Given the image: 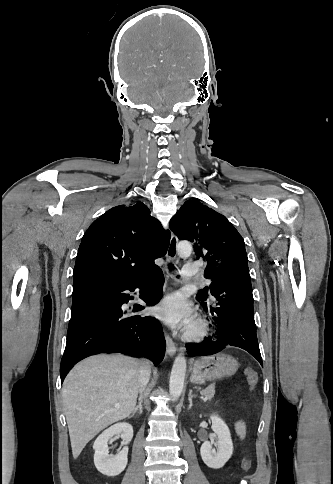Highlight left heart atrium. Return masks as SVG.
<instances>
[{
	"label": "left heart atrium",
	"mask_w": 333,
	"mask_h": 484,
	"mask_svg": "<svg viewBox=\"0 0 333 484\" xmlns=\"http://www.w3.org/2000/svg\"><path fill=\"white\" fill-rule=\"evenodd\" d=\"M155 314L168 324L189 329L194 321L191 304L178 292L167 295L155 308Z\"/></svg>",
	"instance_id": "39dd6f15"
}]
</instances>
